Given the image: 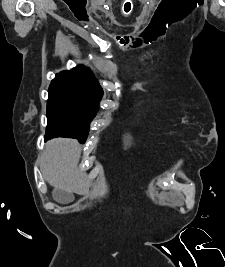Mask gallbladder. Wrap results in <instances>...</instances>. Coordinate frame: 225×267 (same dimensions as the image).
Instances as JSON below:
<instances>
[{
  "instance_id": "1",
  "label": "gallbladder",
  "mask_w": 225,
  "mask_h": 267,
  "mask_svg": "<svg viewBox=\"0 0 225 267\" xmlns=\"http://www.w3.org/2000/svg\"><path fill=\"white\" fill-rule=\"evenodd\" d=\"M53 198L57 202L62 203V204H67L74 200V196L72 195V193H69L59 188H55L53 190Z\"/></svg>"
}]
</instances>
